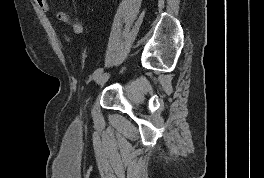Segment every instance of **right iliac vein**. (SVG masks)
Returning <instances> with one entry per match:
<instances>
[{"instance_id": "1", "label": "right iliac vein", "mask_w": 264, "mask_h": 178, "mask_svg": "<svg viewBox=\"0 0 264 178\" xmlns=\"http://www.w3.org/2000/svg\"><path fill=\"white\" fill-rule=\"evenodd\" d=\"M109 77L110 73H101L98 76L94 77V80L97 85H102L109 79Z\"/></svg>"}]
</instances>
